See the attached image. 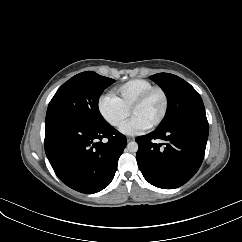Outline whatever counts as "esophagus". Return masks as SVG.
I'll return each instance as SVG.
<instances>
[{"instance_id":"1","label":"esophagus","mask_w":242,"mask_h":242,"mask_svg":"<svg viewBox=\"0 0 242 242\" xmlns=\"http://www.w3.org/2000/svg\"><path fill=\"white\" fill-rule=\"evenodd\" d=\"M132 140H134L133 137H127V142H130V141H132Z\"/></svg>"}]
</instances>
